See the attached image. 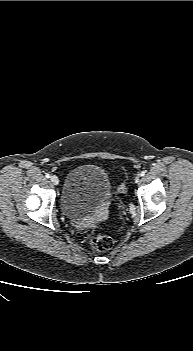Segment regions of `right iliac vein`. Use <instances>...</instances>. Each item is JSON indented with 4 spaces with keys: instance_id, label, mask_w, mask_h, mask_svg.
Returning <instances> with one entry per match:
<instances>
[{
    "instance_id": "right-iliac-vein-1",
    "label": "right iliac vein",
    "mask_w": 193,
    "mask_h": 351,
    "mask_svg": "<svg viewBox=\"0 0 193 351\" xmlns=\"http://www.w3.org/2000/svg\"><path fill=\"white\" fill-rule=\"evenodd\" d=\"M51 182L54 184V185H58L59 184V179L57 176L53 175L51 176L50 178Z\"/></svg>"
}]
</instances>
